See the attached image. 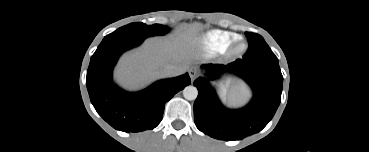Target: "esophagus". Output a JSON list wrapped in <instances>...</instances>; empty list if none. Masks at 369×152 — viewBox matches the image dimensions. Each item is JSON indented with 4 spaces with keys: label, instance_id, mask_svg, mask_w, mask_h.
I'll return each mask as SVG.
<instances>
[{
    "label": "esophagus",
    "instance_id": "esophagus-1",
    "mask_svg": "<svg viewBox=\"0 0 369 152\" xmlns=\"http://www.w3.org/2000/svg\"><path fill=\"white\" fill-rule=\"evenodd\" d=\"M189 74H190L191 79L194 80L196 78V76H197V70H196V68L192 67L190 69V71H189Z\"/></svg>",
    "mask_w": 369,
    "mask_h": 152
}]
</instances>
